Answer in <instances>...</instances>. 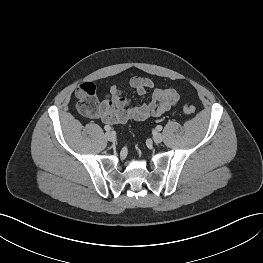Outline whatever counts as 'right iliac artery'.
Instances as JSON below:
<instances>
[{
	"label": "right iliac artery",
	"mask_w": 263,
	"mask_h": 263,
	"mask_svg": "<svg viewBox=\"0 0 263 263\" xmlns=\"http://www.w3.org/2000/svg\"><path fill=\"white\" fill-rule=\"evenodd\" d=\"M104 129H105L106 131H110V130H111V127H110L109 125H106V126H104Z\"/></svg>",
	"instance_id": "82829eb1"
}]
</instances>
